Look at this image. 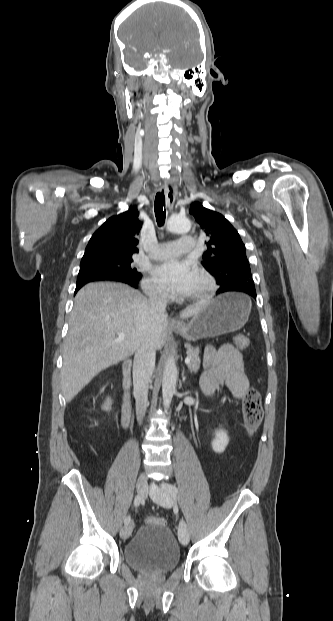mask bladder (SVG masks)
I'll return each instance as SVG.
<instances>
[{
    "mask_svg": "<svg viewBox=\"0 0 333 621\" xmlns=\"http://www.w3.org/2000/svg\"><path fill=\"white\" fill-rule=\"evenodd\" d=\"M123 558L138 571L147 574L166 573L178 565L180 549L167 526L147 523L126 543Z\"/></svg>",
    "mask_w": 333,
    "mask_h": 621,
    "instance_id": "bladder-1",
    "label": "bladder"
}]
</instances>
